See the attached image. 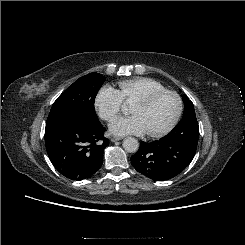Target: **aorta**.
Returning a JSON list of instances; mask_svg holds the SVG:
<instances>
[{
    "label": "aorta",
    "mask_w": 245,
    "mask_h": 245,
    "mask_svg": "<svg viewBox=\"0 0 245 245\" xmlns=\"http://www.w3.org/2000/svg\"><path fill=\"white\" fill-rule=\"evenodd\" d=\"M122 146L125 151L135 153L139 149V142L133 137H127L123 140Z\"/></svg>",
    "instance_id": "obj_1"
}]
</instances>
